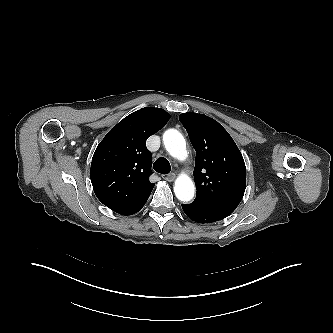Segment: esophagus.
Masks as SVG:
<instances>
[{
	"instance_id": "obj_1",
	"label": "esophagus",
	"mask_w": 333,
	"mask_h": 333,
	"mask_svg": "<svg viewBox=\"0 0 333 333\" xmlns=\"http://www.w3.org/2000/svg\"><path fill=\"white\" fill-rule=\"evenodd\" d=\"M175 174L174 173H170V174H163L162 175V178L169 181V182H172L175 180Z\"/></svg>"
}]
</instances>
